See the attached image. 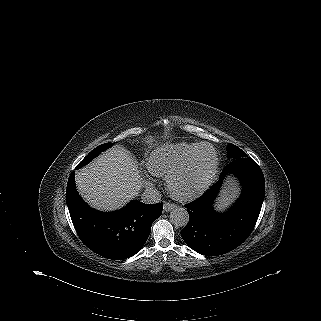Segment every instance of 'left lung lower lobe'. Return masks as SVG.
I'll return each instance as SVG.
<instances>
[{"label": "left lung lower lobe", "mask_w": 321, "mask_h": 321, "mask_svg": "<svg viewBox=\"0 0 321 321\" xmlns=\"http://www.w3.org/2000/svg\"><path fill=\"white\" fill-rule=\"evenodd\" d=\"M228 174L240 178L243 192L229 211L219 214L212 205ZM264 196V175L257 163L250 157L233 160L223 169L216 184L200 198L185 205L189 222L181 231L183 240L191 249L207 256L222 255L235 249L253 231Z\"/></svg>", "instance_id": "obj_1"}]
</instances>
